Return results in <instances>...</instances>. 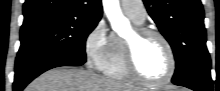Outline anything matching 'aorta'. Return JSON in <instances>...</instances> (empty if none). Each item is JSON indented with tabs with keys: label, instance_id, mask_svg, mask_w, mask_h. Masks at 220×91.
Instances as JSON below:
<instances>
[{
	"label": "aorta",
	"instance_id": "aorta-1",
	"mask_svg": "<svg viewBox=\"0 0 220 91\" xmlns=\"http://www.w3.org/2000/svg\"><path fill=\"white\" fill-rule=\"evenodd\" d=\"M103 8L114 31L122 33L128 22L121 12L119 0H103Z\"/></svg>",
	"mask_w": 220,
	"mask_h": 91
}]
</instances>
